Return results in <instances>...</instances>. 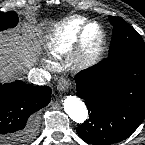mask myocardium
Masks as SVG:
<instances>
[{
  "mask_svg": "<svg viewBox=\"0 0 145 145\" xmlns=\"http://www.w3.org/2000/svg\"><path fill=\"white\" fill-rule=\"evenodd\" d=\"M90 26H95L98 31V39L93 47L88 44L86 37ZM75 47L73 62L78 70L95 66L101 60L106 47V33L102 25L97 21L85 22L79 30Z\"/></svg>",
  "mask_w": 145,
  "mask_h": 145,
  "instance_id": "1",
  "label": "myocardium"
}]
</instances>
